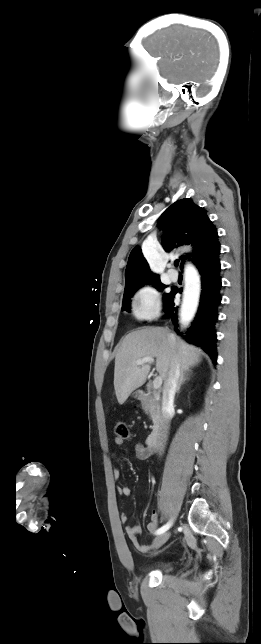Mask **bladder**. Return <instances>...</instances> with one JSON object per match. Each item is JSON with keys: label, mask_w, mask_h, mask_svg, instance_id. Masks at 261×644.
I'll use <instances>...</instances> for the list:
<instances>
[{"label": "bladder", "mask_w": 261, "mask_h": 644, "mask_svg": "<svg viewBox=\"0 0 261 644\" xmlns=\"http://www.w3.org/2000/svg\"><path fill=\"white\" fill-rule=\"evenodd\" d=\"M170 567V564L166 561L159 562L155 568L160 570H167Z\"/></svg>", "instance_id": "bladder-1"}]
</instances>
